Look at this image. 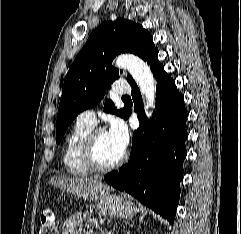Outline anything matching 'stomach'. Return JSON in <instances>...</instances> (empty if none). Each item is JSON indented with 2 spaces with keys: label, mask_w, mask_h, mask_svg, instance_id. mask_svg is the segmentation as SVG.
Returning a JSON list of instances; mask_svg holds the SVG:
<instances>
[{
  "label": "stomach",
  "mask_w": 241,
  "mask_h": 234,
  "mask_svg": "<svg viewBox=\"0 0 241 234\" xmlns=\"http://www.w3.org/2000/svg\"><path fill=\"white\" fill-rule=\"evenodd\" d=\"M93 211L102 216L125 218L133 217L137 208L131 201L116 194L107 193L99 198L98 203L90 207V213ZM87 214L88 211H79L67 218L62 225V234H84L83 221Z\"/></svg>",
  "instance_id": "1"
}]
</instances>
